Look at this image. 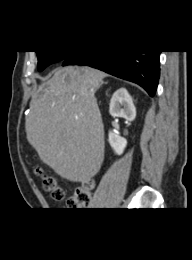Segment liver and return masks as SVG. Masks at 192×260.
Instances as JSON below:
<instances>
[{"mask_svg":"<svg viewBox=\"0 0 192 260\" xmlns=\"http://www.w3.org/2000/svg\"><path fill=\"white\" fill-rule=\"evenodd\" d=\"M105 77L91 67L60 68L30 103L28 142L43 163L72 182L89 181L104 160V126L95 92Z\"/></svg>","mask_w":192,"mask_h":260,"instance_id":"liver-1","label":"liver"}]
</instances>
